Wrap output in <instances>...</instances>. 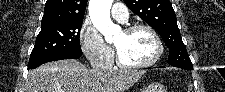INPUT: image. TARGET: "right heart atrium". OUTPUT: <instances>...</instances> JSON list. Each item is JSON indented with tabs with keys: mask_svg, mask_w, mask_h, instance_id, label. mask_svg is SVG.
Returning a JSON list of instances; mask_svg holds the SVG:
<instances>
[{
	"mask_svg": "<svg viewBox=\"0 0 225 92\" xmlns=\"http://www.w3.org/2000/svg\"><path fill=\"white\" fill-rule=\"evenodd\" d=\"M81 48L86 57L96 66L105 67L112 63L111 49L104 43L98 30L88 22L79 31Z\"/></svg>",
	"mask_w": 225,
	"mask_h": 92,
	"instance_id": "1",
	"label": "right heart atrium"
}]
</instances>
